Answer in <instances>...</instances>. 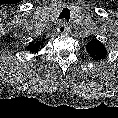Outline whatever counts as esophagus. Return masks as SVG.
I'll return each mask as SVG.
<instances>
[{
	"label": "esophagus",
	"mask_w": 118,
	"mask_h": 118,
	"mask_svg": "<svg viewBox=\"0 0 118 118\" xmlns=\"http://www.w3.org/2000/svg\"><path fill=\"white\" fill-rule=\"evenodd\" d=\"M69 31V28L66 26L65 22L62 21L57 26V32L60 34H65Z\"/></svg>",
	"instance_id": "34e87169"
}]
</instances>
